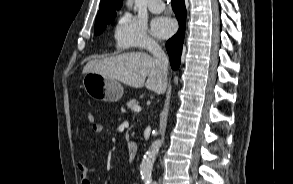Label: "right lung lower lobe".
I'll list each match as a JSON object with an SVG mask.
<instances>
[{
	"label": "right lung lower lobe",
	"instance_id": "1",
	"mask_svg": "<svg viewBox=\"0 0 293 184\" xmlns=\"http://www.w3.org/2000/svg\"><path fill=\"white\" fill-rule=\"evenodd\" d=\"M173 10L179 22L178 32L167 41L166 49L170 58L171 67L177 70L180 66V57L185 36L186 9L184 0H172Z\"/></svg>",
	"mask_w": 293,
	"mask_h": 184
}]
</instances>
